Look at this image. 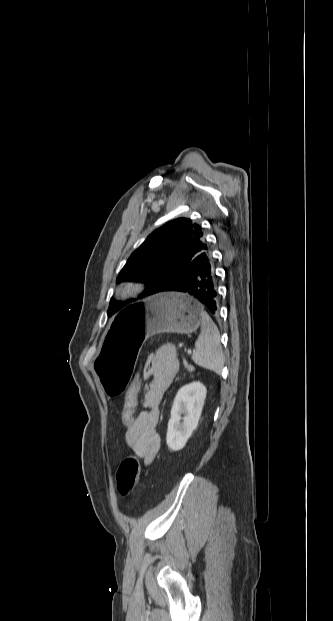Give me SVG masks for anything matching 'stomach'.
Masks as SVG:
<instances>
[{
  "label": "stomach",
  "instance_id": "obj_1",
  "mask_svg": "<svg viewBox=\"0 0 333 621\" xmlns=\"http://www.w3.org/2000/svg\"><path fill=\"white\" fill-rule=\"evenodd\" d=\"M204 315L202 306L192 297L169 292L134 304L113 318L96 365L105 398L110 402L124 398L144 339L161 332L189 334L201 325Z\"/></svg>",
  "mask_w": 333,
  "mask_h": 621
}]
</instances>
